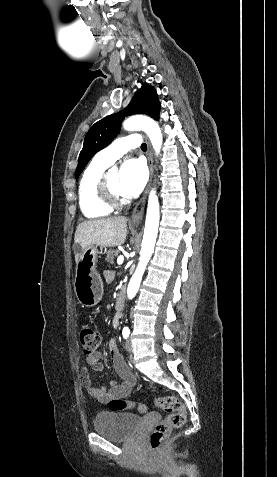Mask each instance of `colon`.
Instances as JSON below:
<instances>
[{
  "label": "colon",
  "mask_w": 277,
  "mask_h": 477,
  "mask_svg": "<svg viewBox=\"0 0 277 477\" xmlns=\"http://www.w3.org/2000/svg\"><path fill=\"white\" fill-rule=\"evenodd\" d=\"M101 339V333L90 324H84L81 327L80 342L84 354H94L101 343ZM155 403L167 413V417L155 426L150 435V446L157 451L162 448L173 429L180 428L185 424L186 412L181 401L173 395L160 397ZM108 407L112 411L136 409L144 413L147 410V407L142 403H134L124 399H113L108 403Z\"/></svg>",
  "instance_id": "obj_1"
}]
</instances>
